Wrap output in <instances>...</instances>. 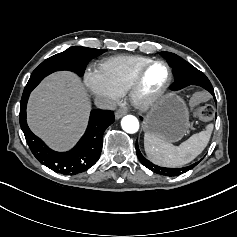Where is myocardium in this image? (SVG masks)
Listing matches in <instances>:
<instances>
[{"instance_id": "1", "label": "myocardium", "mask_w": 237, "mask_h": 237, "mask_svg": "<svg viewBox=\"0 0 237 237\" xmlns=\"http://www.w3.org/2000/svg\"><path fill=\"white\" fill-rule=\"evenodd\" d=\"M160 64L166 69L167 76L164 83L154 92H144V78L150 67ZM172 80V71L169 64L163 60H150L145 64L135 77L130 89L129 98L131 103L140 110H147L153 107L164 96Z\"/></svg>"}]
</instances>
